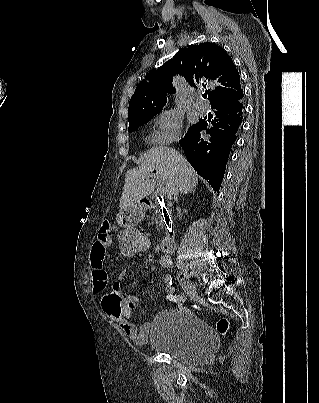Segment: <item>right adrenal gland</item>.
Segmentation results:
<instances>
[{
	"instance_id": "right-adrenal-gland-1",
	"label": "right adrenal gland",
	"mask_w": 319,
	"mask_h": 403,
	"mask_svg": "<svg viewBox=\"0 0 319 403\" xmlns=\"http://www.w3.org/2000/svg\"><path fill=\"white\" fill-rule=\"evenodd\" d=\"M194 190H195V188L192 189V190H189L188 192H193ZM188 192L183 193V195H184V194H188Z\"/></svg>"
}]
</instances>
